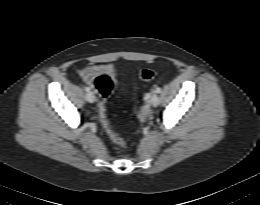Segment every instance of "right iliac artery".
I'll list each match as a JSON object with an SVG mask.
<instances>
[{
	"instance_id": "right-iliac-artery-1",
	"label": "right iliac artery",
	"mask_w": 260,
	"mask_h": 205,
	"mask_svg": "<svg viewBox=\"0 0 260 205\" xmlns=\"http://www.w3.org/2000/svg\"><path fill=\"white\" fill-rule=\"evenodd\" d=\"M85 91H86V92H89V91H90V88H89V87H85Z\"/></svg>"
}]
</instances>
